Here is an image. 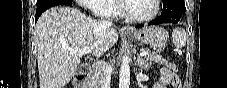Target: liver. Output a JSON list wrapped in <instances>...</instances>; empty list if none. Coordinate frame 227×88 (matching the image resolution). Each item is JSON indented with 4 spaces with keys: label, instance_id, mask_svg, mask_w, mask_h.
Masks as SVG:
<instances>
[{
    "label": "liver",
    "instance_id": "liver-1",
    "mask_svg": "<svg viewBox=\"0 0 227 88\" xmlns=\"http://www.w3.org/2000/svg\"><path fill=\"white\" fill-rule=\"evenodd\" d=\"M37 62L40 88H64L81 62L80 56L66 49L89 47L98 57L115 45L119 34L113 27L103 29L77 8L53 7L36 23ZM91 56L85 58L88 59Z\"/></svg>",
    "mask_w": 227,
    "mask_h": 88
}]
</instances>
